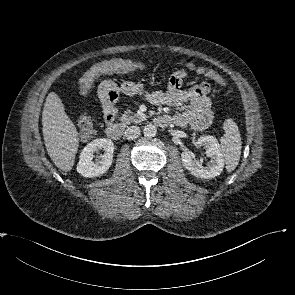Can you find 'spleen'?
Listing matches in <instances>:
<instances>
[{"instance_id": "obj_1", "label": "spleen", "mask_w": 295, "mask_h": 295, "mask_svg": "<svg viewBox=\"0 0 295 295\" xmlns=\"http://www.w3.org/2000/svg\"><path fill=\"white\" fill-rule=\"evenodd\" d=\"M225 134L221 137L220 148L225 159L228 172H232L238 165L241 155V136L238 126L232 119L223 123Z\"/></svg>"}]
</instances>
